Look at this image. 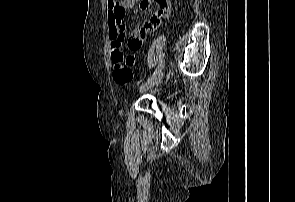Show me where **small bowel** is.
I'll use <instances>...</instances> for the list:
<instances>
[{"instance_id":"1","label":"small bowel","mask_w":295,"mask_h":202,"mask_svg":"<svg viewBox=\"0 0 295 202\" xmlns=\"http://www.w3.org/2000/svg\"><path fill=\"white\" fill-rule=\"evenodd\" d=\"M135 0H107L108 7V26L109 40L111 47V59L114 60V54L118 51L124 52V23L123 19L127 9L134 5ZM159 11L151 17L150 20L138 26L131 33L128 40V50L135 51L146 42L147 35L155 30L161 20L166 17L171 8L170 0H156ZM151 0H140L139 8L147 10L150 7Z\"/></svg>"}]
</instances>
